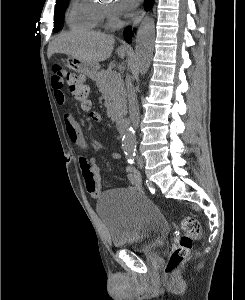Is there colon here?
<instances>
[{
    "mask_svg": "<svg viewBox=\"0 0 245 300\" xmlns=\"http://www.w3.org/2000/svg\"><path fill=\"white\" fill-rule=\"evenodd\" d=\"M53 73L67 83L73 98L80 104L82 109L88 110L90 108L89 87L83 78L59 65L53 67ZM181 227L183 235L166 263V274H172L179 267L187 257L194 241L201 235V225L198 219L193 216L184 217L181 221Z\"/></svg>",
    "mask_w": 245,
    "mask_h": 300,
    "instance_id": "colon-1",
    "label": "colon"
}]
</instances>
